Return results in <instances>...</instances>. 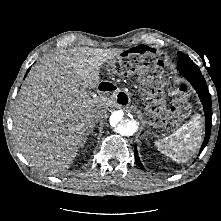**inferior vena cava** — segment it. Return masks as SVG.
Returning <instances> with one entry per match:
<instances>
[{
	"mask_svg": "<svg viewBox=\"0 0 221 221\" xmlns=\"http://www.w3.org/2000/svg\"><path fill=\"white\" fill-rule=\"evenodd\" d=\"M102 111L101 110H94L92 112V119L96 121V123L98 122V120H100L102 118Z\"/></svg>",
	"mask_w": 221,
	"mask_h": 221,
	"instance_id": "602c4592",
	"label": "inferior vena cava"
}]
</instances>
